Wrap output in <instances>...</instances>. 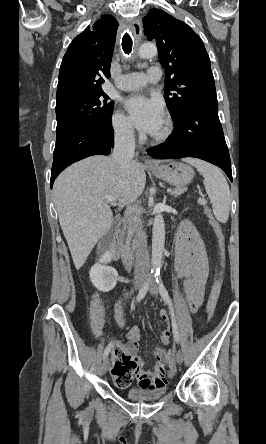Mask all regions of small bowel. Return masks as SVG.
<instances>
[{"label": "small bowel", "instance_id": "small-bowel-1", "mask_svg": "<svg viewBox=\"0 0 266 444\" xmlns=\"http://www.w3.org/2000/svg\"><path fill=\"white\" fill-rule=\"evenodd\" d=\"M174 270L180 278L185 279L184 291L190 310L192 312L198 311L206 292L209 264L200 235L189 222L182 223L176 236ZM89 313L91 333L95 338H100L103 334L105 318V306L101 293L98 292L93 296ZM115 317L119 326L125 328L123 300L117 304ZM160 317L168 326L169 319L165 310L160 312ZM140 336L139 328H129L127 343L117 342L113 347L111 376L115 386L120 389L128 388L133 378H136L138 386L142 389H154L167 384L165 376L168 365L166 349L163 346H157L154 349L153 354L157 363L154 371L148 372L143 368V361L137 355ZM170 338L171 332L167 327L160 335L162 345L169 344ZM170 372L173 373V370Z\"/></svg>", "mask_w": 266, "mask_h": 444}]
</instances>
